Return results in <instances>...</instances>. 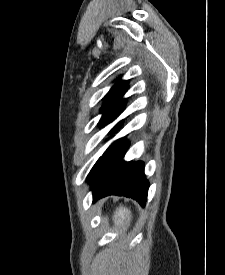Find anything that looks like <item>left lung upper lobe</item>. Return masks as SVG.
<instances>
[{"label": "left lung upper lobe", "mask_w": 225, "mask_h": 275, "mask_svg": "<svg viewBox=\"0 0 225 275\" xmlns=\"http://www.w3.org/2000/svg\"><path fill=\"white\" fill-rule=\"evenodd\" d=\"M127 83H128V81L119 80L116 84L113 85V87L107 93L105 101H104V105L101 108V112L103 113V116L100 120L102 122L100 124L101 126L112 122L123 111L124 103H125L126 99H122V97H123L124 93L126 92V90L128 89ZM115 128H116V126L112 130H114ZM120 141H121V139L115 141L106 150V152H108L111 148H113ZM93 169H94V167L92 168L89 176L91 175Z\"/></svg>", "instance_id": "left-lung-upper-lobe-1"}]
</instances>
